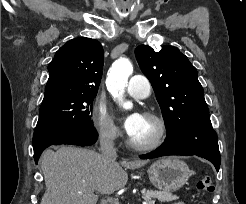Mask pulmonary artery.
I'll return each instance as SVG.
<instances>
[{
  "label": "pulmonary artery",
  "mask_w": 246,
  "mask_h": 204,
  "mask_svg": "<svg viewBox=\"0 0 246 204\" xmlns=\"http://www.w3.org/2000/svg\"><path fill=\"white\" fill-rule=\"evenodd\" d=\"M126 91L130 96L142 99L150 95L151 85L145 76L134 75L130 78Z\"/></svg>",
  "instance_id": "e3ab8cb5"
}]
</instances>
